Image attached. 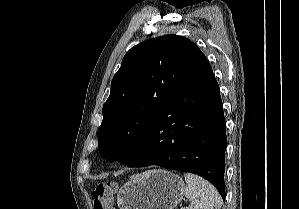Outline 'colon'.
Returning a JSON list of instances; mask_svg holds the SVG:
<instances>
[{
	"instance_id": "obj_1",
	"label": "colon",
	"mask_w": 299,
	"mask_h": 209,
	"mask_svg": "<svg viewBox=\"0 0 299 209\" xmlns=\"http://www.w3.org/2000/svg\"><path fill=\"white\" fill-rule=\"evenodd\" d=\"M118 186L112 182L99 183L92 190L95 209H113L114 196Z\"/></svg>"
}]
</instances>
